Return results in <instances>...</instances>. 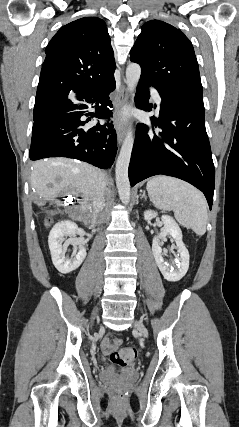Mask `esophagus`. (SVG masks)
Instances as JSON below:
<instances>
[{"label": "esophagus", "mask_w": 239, "mask_h": 427, "mask_svg": "<svg viewBox=\"0 0 239 427\" xmlns=\"http://www.w3.org/2000/svg\"><path fill=\"white\" fill-rule=\"evenodd\" d=\"M127 102V86L125 80H122V83L119 87V93L115 100V127L117 133L118 144H121L125 136V125L121 119V110Z\"/></svg>", "instance_id": "34e87169"}]
</instances>
